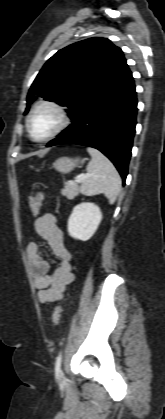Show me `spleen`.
<instances>
[{"label":"spleen","mask_w":165,"mask_h":419,"mask_svg":"<svg viewBox=\"0 0 165 419\" xmlns=\"http://www.w3.org/2000/svg\"><path fill=\"white\" fill-rule=\"evenodd\" d=\"M92 160L87 166L88 177L81 185V193L86 196L104 194L113 204L121 191V178L108 158L97 149L88 147Z\"/></svg>","instance_id":"obj_1"}]
</instances>
